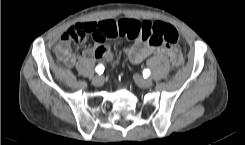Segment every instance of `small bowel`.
Here are the masks:
<instances>
[{
	"label": "small bowel",
	"mask_w": 245,
	"mask_h": 145,
	"mask_svg": "<svg viewBox=\"0 0 245 145\" xmlns=\"http://www.w3.org/2000/svg\"><path fill=\"white\" fill-rule=\"evenodd\" d=\"M135 21L134 19L125 18L120 20L113 19H102V20H90L85 22L93 27L94 30V40L95 46L93 48L84 49L78 53L71 51L70 40H62L56 47V53L60 56L61 50L64 48L68 52V56L63 59L64 63L73 67L78 59L85 56H96L100 57L103 55L112 56L118 52L124 53L127 58L135 64L142 62L145 58L153 54H166L170 58H174L176 51L173 48H168L166 46L160 45L156 46L148 42L141 40L136 41L131 46L126 49L114 48L109 46L110 39L108 34L112 30H117L121 22H131ZM146 23V22H144ZM142 23V24H144ZM66 33H64L65 35ZM63 35V36H64ZM86 38L78 40L79 43H84Z\"/></svg>",
	"instance_id": "obj_1"
}]
</instances>
